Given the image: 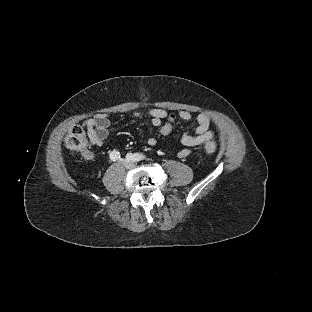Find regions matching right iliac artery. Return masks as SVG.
Here are the masks:
<instances>
[{
	"label": "right iliac artery",
	"instance_id": "1",
	"mask_svg": "<svg viewBox=\"0 0 312 312\" xmlns=\"http://www.w3.org/2000/svg\"><path fill=\"white\" fill-rule=\"evenodd\" d=\"M110 158H111L113 161H115V160H117V159L120 158V153L114 150V151H112V152L110 153ZM126 159H127L128 161H132V162L139 161V160L136 159V155H135V154H131V153H128V154H127Z\"/></svg>",
	"mask_w": 312,
	"mask_h": 312
}]
</instances>
